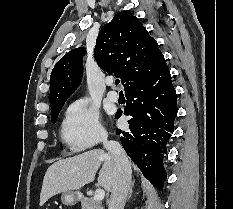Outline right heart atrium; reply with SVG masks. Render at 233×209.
Here are the masks:
<instances>
[{
  "instance_id": "right-heart-atrium-1",
  "label": "right heart atrium",
  "mask_w": 233,
  "mask_h": 209,
  "mask_svg": "<svg viewBox=\"0 0 233 209\" xmlns=\"http://www.w3.org/2000/svg\"><path fill=\"white\" fill-rule=\"evenodd\" d=\"M63 139L74 151L92 148L106 141L98 109L86 99L72 102L62 124Z\"/></svg>"
}]
</instances>
